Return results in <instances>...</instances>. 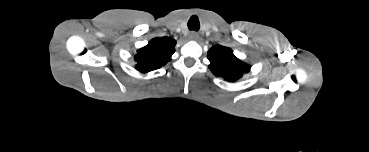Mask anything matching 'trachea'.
<instances>
[{"mask_svg":"<svg viewBox=\"0 0 369 152\" xmlns=\"http://www.w3.org/2000/svg\"><path fill=\"white\" fill-rule=\"evenodd\" d=\"M195 20V18H191L189 23H188V27L190 30H195L197 31L199 29V22H198V19H196V21H193Z\"/></svg>","mask_w":369,"mask_h":152,"instance_id":"trachea-1","label":"trachea"}]
</instances>
